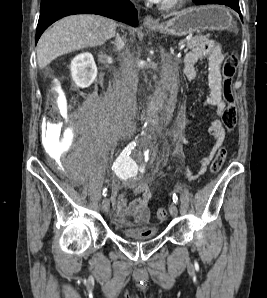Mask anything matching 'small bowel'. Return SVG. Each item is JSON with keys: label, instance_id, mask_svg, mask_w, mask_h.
<instances>
[{"label": "small bowel", "instance_id": "1", "mask_svg": "<svg viewBox=\"0 0 267 298\" xmlns=\"http://www.w3.org/2000/svg\"><path fill=\"white\" fill-rule=\"evenodd\" d=\"M208 58L209 73L208 84L210 93L207 98V103L214 107L217 118L214 119L209 127V134L214 138L215 143L209 154L202 159L198 174L202 175L207 171V167L213 158L216 147L223 141L225 137V128L223 123V115L226 110V102L222 96V77H221V64L224 55L219 45L214 41H205L194 49L189 51L184 58V73L186 77L193 80L197 77L196 63L202 58ZM173 106H170V111ZM196 176H191L194 179ZM125 190L118 194L121 184L119 181H114L112 186V197L115 203L116 214L119 222L128 224V217L135 218L140 224L145 225L150 220V209L148 202L152 197V190L147 180H142L138 177L126 181ZM130 193L140 195L128 201ZM137 234L146 236L150 235L153 230L149 227H141L135 230Z\"/></svg>", "mask_w": 267, "mask_h": 298}]
</instances>
